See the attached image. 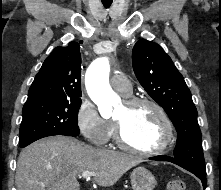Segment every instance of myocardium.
I'll list each match as a JSON object with an SVG mask.
<instances>
[{"label": "myocardium", "mask_w": 221, "mask_h": 190, "mask_svg": "<svg viewBox=\"0 0 221 190\" xmlns=\"http://www.w3.org/2000/svg\"><path fill=\"white\" fill-rule=\"evenodd\" d=\"M124 104L128 108H134L139 105H148L152 107L159 114L163 122L164 135L161 143L158 146L149 149H141L133 146L127 141L124 134L123 124L120 121L114 119L113 123L116 133V141L118 145L127 151L141 155H156L166 151L170 147L174 138V126L164 108L154 100L144 97H128L124 100Z\"/></svg>", "instance_id": "obj_1"}]
</instances>
